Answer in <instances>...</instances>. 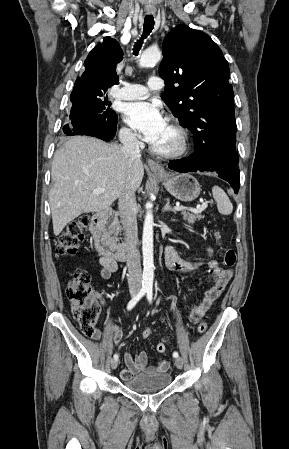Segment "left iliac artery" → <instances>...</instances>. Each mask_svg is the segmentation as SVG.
I'll list each match as a JSON object with an SVG mask.
<instances>
[{"label":"left iliac artery","mask_w":289,"mask_h":449,"mask_svg":"<svg viewBox=\"0 0 289 449\" xmlns=\"http://www.w3.org/2000/svg\"><path fill=\"white\" fill-rule=\"evenodd\" d=\"M147 299H148V301L151 303L152 302V299H153V291H152V289L150 288V289H147ZM173 357L174 358H178L179 357V354H178V352H174L173 353Z\"/></svg>","instance_id":"left-iliac-artery-1"}]
</instances>
